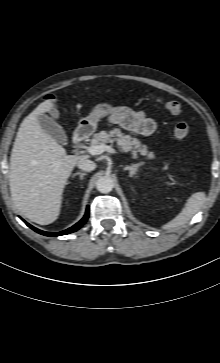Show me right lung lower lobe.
<instances>
[{"label": "right lung lower lobe", "mask_w": 220, "mask_h": 363, "mask_svg": "<svg viewBox=\"0 0 220 363\" xmlns=\"http://www.w3.org/2000/svg\"><path fill=\"white\" fill-rule=\"evenodd\" d=\"M89 216V208L87 207L86 209V213L84 215V217L78 222L76 223L74 226L68 228L67 230L61 231V232H57V233H49V232H45L42 230H39L33 226H31L30 224H28L27 222H25L31 229H33L34 231L38 232L39 234L45 235V236H60V235H66L72 232L77 231L79 228L82 227V225L87 221Z\"/></svg>", "instance_id": "right-lung-lower-lobe-1"}]
</instances>
